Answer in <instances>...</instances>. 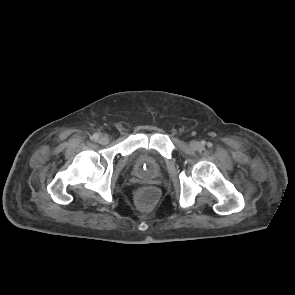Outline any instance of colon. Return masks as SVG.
Returning a JSON list of instances; mask_svg holds the SVG:
<instances>
[{"label": "colon", "instance_id": "1", "mask_svg": "<svg viewBox=\"0 0 295 295\" xmlns=\"http://www.w3.org/2000/svg\"><path fill=\"white\" fill-rule=\"evenodd\" d=\"M159 192L153 186L140 187L135 193V199L142 208L151 207L158 199Z\"/></svg>", "mask_w": 295, "mask_h": 295}]
</instances>
